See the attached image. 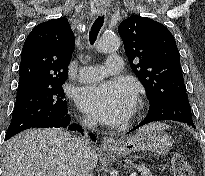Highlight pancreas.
Returning a JSON list of instances; mask_svg holds the SVG:
<instances>
[{
	"label": "pancreas",
	"mask_w": 205,
	"mask_h": 176,
	"mask_svg": "<svg viewBox=\"0 0 205 176\" xmlns=\"http://www.w3.org/2000/svg\"><path fill=\"white\" fill-rule=\"evenodd\" d=\"M141 176H152L146 167H141Z\"/></svg>",
	"instance_id": "pancreas-1"
}]
</instances>
